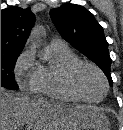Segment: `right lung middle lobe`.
<instances>
[{"instance_id": "1", "label": "right lung middle lobe", "mask_w": 123, "mask_h": 130, "mask_svg": "<svg viewBox=\"0 0 123 130\" xmlns=\"http://www.w3.org/2000/svg\"><path fill=\"white\" fill-rule=\"evenodd\" d=\"M20 53H1V87L17 90L14 67Z\"/></svg>"}]
</instances>
